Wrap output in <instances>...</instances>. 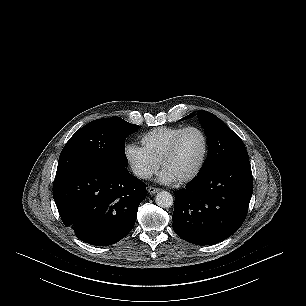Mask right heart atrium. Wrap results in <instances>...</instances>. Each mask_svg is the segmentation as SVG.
I'll return each instance as SVG.
<instances>
[{
	"label": "right heart atrium",
	"mask_w": 306,
	"mask_h": 306,
	"mask_svg": "<svg viewBox=\"0 0 306 306\" xmlns=\"http://www.w3.org/2000/svg\"><path fill=\"white\" fill-rule=\"evenodd\" d=\"M124 156L133 175L141 180L149 179L159 168V162L137 144H127Z\"/></svg>",
	"instance_id": "obj_1"
}]
</instances>
